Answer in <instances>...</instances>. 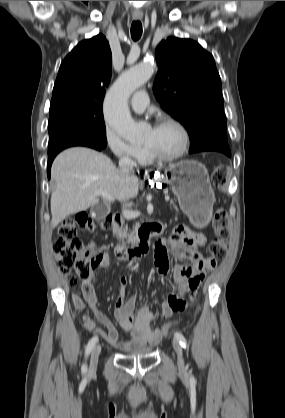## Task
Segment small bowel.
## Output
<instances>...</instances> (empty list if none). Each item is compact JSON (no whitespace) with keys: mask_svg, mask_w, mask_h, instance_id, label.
<instances>
[{"mask_svg":"<svg viewBox=\"0 0 285 418\" xmlns=\"http://www.w3.org/2000/svg\"><path fill=\"white\" fill-rule=\"evenodd\" d=\"M160 231V228H157ZM172 254L181 259H189L193 265H176L173 267L174 290L167 296L166 301L161 305L160 315L163 319L172 316L173 313L187 307V302L182 296L187 292L191 299L195 298L206 274V264L210 259H204L192 248L193 244L204 242L202 236L196 233L185 231L174 233L168 239L162 241ZM110 265L109 256L101 259L95 266L89 277L82 282L81 294L72 296L73 304L78 312L89 310L95 319L104 327L97 328L95 322L89 317L84 319L86 330L99 335L109 344L124 350L130 351L133 348L152 346L159 343L164 335H159L157 330L152 328L153 313L149 307L144 306L135 313L136 298L127 293V280L124 276L119 278V297L114 305L113 311L120 322L121 327L131 334L130 340H120L118 331L112 320L102 312L97 306V295L93 287L100 270ZM157 272L161 276H166L171 270L168 258L162 262L155 260ZM73 279L70 278V281Z\"/></svg>","mask_w":285,"mask_h":418,"instance_id":"c3829d8e","label":"small bowel"}]
</instances>
